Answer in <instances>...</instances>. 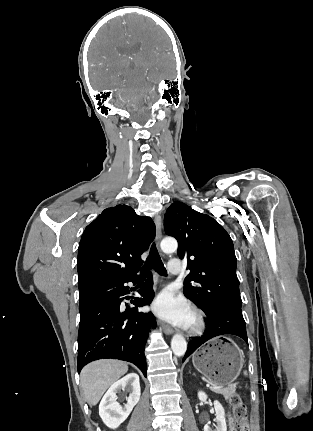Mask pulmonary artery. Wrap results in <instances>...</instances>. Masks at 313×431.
<instances>
[{
	"instance_id": "1",
	"label": "pulmonary artery",
	"mask_w": 313,
	"mask_h": 431,
	"mask_svg": "<svg viewBox=\"0 0 313 431\" xmlns=\"http://www.w3.org/2000/svg\"><path fill=\"white\" fill-rule=\"evenodd\" d=\"M168 270L172 274H178L181 271V264L178 259H172L168 262Z\"/></svg>"
}]
</instances>
